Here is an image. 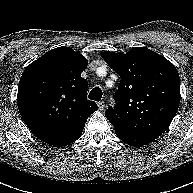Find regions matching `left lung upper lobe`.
Wrapping results in <instances>:
<instances>
[{
    "instance_id": "obj_1",
    "label": "left lung upper lobe",
    "mask_w": 193,
    "mask_h": 193,
    "mask_svg": "<svg viewBox=\"0 0 193 193\" xmlns=\"http://www.w3.org/2000/svg\"><path fill=\"white\" fill-rule=\"evenodd\" d=\"M102 58L120 76L116 107L106 118L115 131L161 135L173 120L180 103V79L175 66L146 47L127 54L105 51Z\"/></svg>"
}]
</instances>
